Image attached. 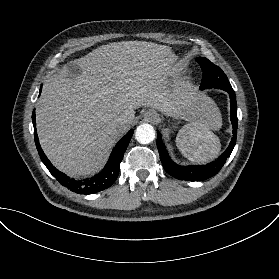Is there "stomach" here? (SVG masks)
Listing matches in <instances>:
<instances>
[{
    "label": "stomach",
    "mask_w": 279,
    "mask_h": 279,
    "mask_svg": "<svg viewBox=\"0 0 279 279\" xmlns=\"http://www.w3.org/2000/svg\"><path fill=\"white\" fill-rule=\"evenodd\" d=\"M151 110H154V109H151ZM162 114L165 115V116H169L167 112H162ZM176 115H178V114H176ZM159 117H160V115H159ZM171 117H172V116H171ZM173 118L179 119V118H181V117L179 116V117H173ZM160 120H162L161 117H160ZM160 122H161V121H160ZM169 132H170V129H169V128H166V129L163 130V135H164V136H168V135H169Z\"/></svg>",
    "instance_id": "1"
}]
</instances>
